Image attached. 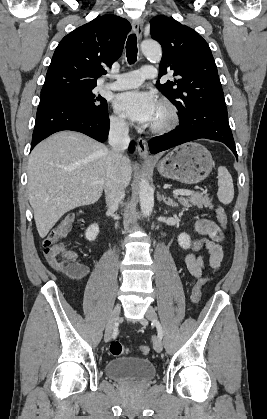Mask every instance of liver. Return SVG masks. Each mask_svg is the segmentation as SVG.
Listing matches in <instances>:
<instances>
[{
  "label": "liver",
  "mask_w": 267,
  "mask_h": 419,
  "mask_svg": "<svg viewBox=\"0 0 267 419\" xmlns=\"http://www.w3.org/2000/svg\"><path fill=\"white\" fill-rule=\"evenodd\" d=\"M108 148L72 131L55 133L39 143L28 161V194L36 227L44 238L70 210L91 205L101 197L107 172ZM127 185L132 167L122 161Z\"/></svg>",
  "instance_id": "obj_1"
}]
</instances>
